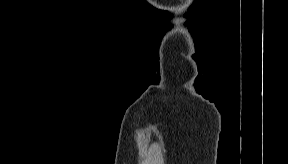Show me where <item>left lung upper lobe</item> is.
<instances>
[{
    "mask_svg": "<svg viewBox=\"0 0 288 164\" xmlns=\"http://www.w3.org/2000/svg\"><path fill=\"white\" fill-rule=\"evenodd\" d=\"M221 80L217 79L212 83V88L217 89L218 85H220Z\"/></svg>",
    "mask_w": 288,
    "mask_h": 164,
    "instance_id": "obj_1",
    "label": "left lung upper lobe"
}]
</instances>
